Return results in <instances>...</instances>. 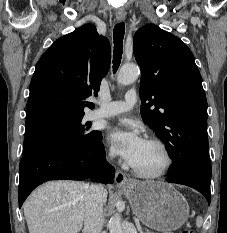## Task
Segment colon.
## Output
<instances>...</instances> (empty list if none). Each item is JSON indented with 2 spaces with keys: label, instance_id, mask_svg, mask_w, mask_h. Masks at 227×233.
Masks as SVG:
<instances>
[{
  "label": "colon",
  "instance_id": "5ec220e1",
  "mask_svg": "<svg viewBox=\"0 0 227 233\" xmlns=\"http://www.w3.org/2000/svg\"><path fill=\"white\" fill-rule=\"evenodd\" d=\"M180 233H194L191 229H184Z\"/></svg>",
  "mask_w": 227,
  "mask_h": 233
}]
</instances>
